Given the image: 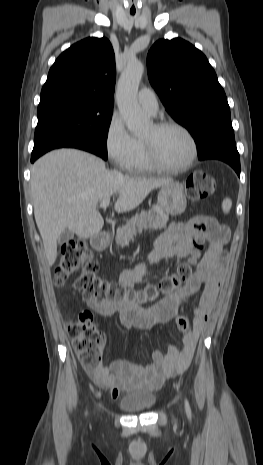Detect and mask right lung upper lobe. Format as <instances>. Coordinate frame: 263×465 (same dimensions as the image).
I'll list each match as a JSON object with an SVG mask.
<instances>
[{
  "instance_id": "obj_1",
  "label": "right lung upper lobe",
  "mask_w": 263,
  "mask_h": 465,
  "mask_svg": "<svg viewBox=\"0 0 263 465\" xmlns=\"http://www.w3.org/2000/svg\"><path fill=\"white\" fill-rule=\"evenodd\" d=\"M115 55L106 38H86L68 48L51 67L40 103L73 98L114 104Z\"/></svg>"
}]
</instances>
